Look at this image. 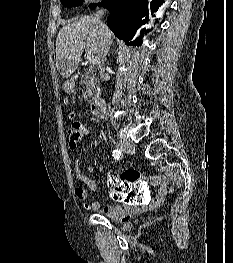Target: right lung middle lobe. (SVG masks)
<instances>
[{"label": "right lung middle lobe", "instance_id": "right-lung-middle-lobe-1", "mask_svg": "<svg viewBox=\"0 0 233 263\" xmlns=\"http://www.w3.org/2000/svg\"><path fill=\"white\" fill-rule=\"evenodd\" d=\"M61 2L65 7L71 8L73 6H80L83 3V0H61ZM97 5L99 4H92L89 7L94 9Z\"/></svg>", "mask_w": 233, "mask_h": 263}]
</instances>
